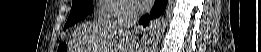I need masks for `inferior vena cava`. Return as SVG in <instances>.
<instances>
[{
  "label": "inferior vena cava",
  "mask_w": 261,
  "mask_h": 52,
  "mask_svg": "<svg viewBox=\"0 0 261 52\" xmlns=\"http://www.w3.org/2000/svg\"><path fill=\"white\" fill-rule=\"evenodd\" d=\"M139 18V9L130 1H126L122 5V12L117 24L123 27L126 32L133 28Z\"/></svg>",
  "instance_id": "1"
}]
</instances>
